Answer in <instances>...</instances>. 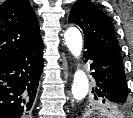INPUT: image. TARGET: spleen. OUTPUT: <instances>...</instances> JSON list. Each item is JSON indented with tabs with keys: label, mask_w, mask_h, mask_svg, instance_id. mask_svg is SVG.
<instances>
[{
	"label": "spleen",
	"mask_w": 133,
	"mask_h": 118,
	"mask_svg": "<svg viewBox=\"0 0 133 118\" xmlns=\"http://www.w3.org/2000/svg\"><path fill=\"white\" fill-rule=\"evenodd\" d=\"M118 116H120V118H122V115H118Z\"/></svg>",
	"instance_id": "obj_1"
}]
</instances>
